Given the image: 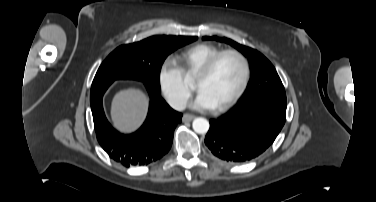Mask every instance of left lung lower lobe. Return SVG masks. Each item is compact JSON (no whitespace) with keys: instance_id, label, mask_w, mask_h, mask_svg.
Here are the masks:
<instances>
[{"instance_id":"1","label":"left lung lower lobe","mask_w":376,"mask_h":202,"mask_svg":"<svg viewBox=\"0 0 376 202\" xmlns=\"http://www.w3.org/2000/svg\"><path fill=\"white\" fill-rule=\"evenodd\" d=\"M287 104L259 98L239 104L233 111L210 120L205 144L228 162L241 163L262 154L271 146L286 120Z\"/></svg>"}]
</instances>
